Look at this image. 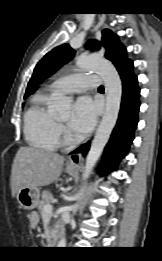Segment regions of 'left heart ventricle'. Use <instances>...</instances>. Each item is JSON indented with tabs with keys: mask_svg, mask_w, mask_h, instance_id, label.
I'll list each match as a JSON object with an SVG mask.
<instances>
[{
	"mask_svg": "<svg viewBox=\"0 0 162 261\" xmlns=\"http://www.w3.org/2000/svg\"><path fill=\"white\" fill-rule=\"evenodd\" d=\"M59 120H61L62 122H67L69 120V114L67 115H61L58 117Z\"/></svg>",
	"mask_w": 162,
	"mask_h": 261,
	"instance_id": "obj_1",
	"label": "left heart ventricle"
}]
</instances>
